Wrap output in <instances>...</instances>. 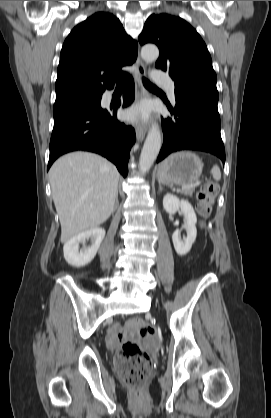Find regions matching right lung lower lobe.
Wrapping results in <instances>:
<instances>
[{
	"label": "right lung lower lobe",
	"instance_id": "obj_1",
	"mask_svg": "<svg viewBox=\"0 0 271 418\" xmlns=\"http://www.w3.org/2000/svg\"><path fill=\"white\" fill-rule=\"evenodd\" d=\"M126 85L123 106H128L134 99L131 77L126 78ZM134 142L135 131L117 120V107L106 110L98 103L70 109L54 116L47 169L59 156L85 150L112 161L125 177L128 173L129 151Z\"/></svg>",
	"mask_w": 271,
	"mask_h": 418
}]
</instances>
